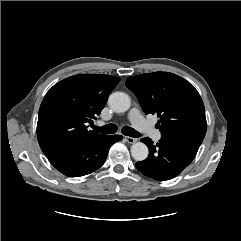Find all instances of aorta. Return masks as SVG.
I'll use <instances>...</instances> for the list:
<instances>
[{
	"mask_svg": "<svg viewBox=\"0 0 241 241\" xmlns=\"http://www.w3.org/2000/svg\"><path fill=\"white\" fill-rule=\"evenodd\" d=\"M108 105L113 111L122 113L130 108L131 101L127 94L123 92H115L109 96ZM148 154V147L142 142L134 143L131 146V155L136 161L145 160L148 157Z\"/></svg>",
	"mask_w": 241,
	"mask_h": 241,
	"instance_id": "1",
	"label": "aorta"
}]
</instances>
